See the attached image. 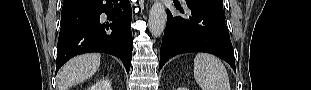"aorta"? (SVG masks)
Instances as JSON below:
<instances>
[{
  "label": "aorta",
  "instance_id": "aorta-1",
  "mask_svg": "<svg viewBox=\"0 0 311 90\" xmlns=\"http://www.w3.org/2000/svg\"><path fill=\"white\" fill-rule=\"evenodd\" d=\"M166 10L160 1H156L150 9L148 27L152 36L159 37L166 25Z\"/></svg>",
  "mask_w": 311,
  "mask_h": 90
}]
</instances>
